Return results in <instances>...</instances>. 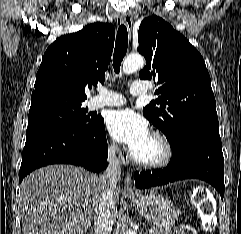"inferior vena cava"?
Here are the masks:
<instances>
[{
  "label": "inferior vena cava",
  "instance_id": "602c4592",
  "mask_svg": "<svg viewBox=\"0 0 241 234\" xmlns=\"http://www.w3.org/2000/svg\"><path fill=\"white\" fill-rule=\"evenodd\" d=\"M117 146L111 145L108 150V166L100 176L102 201L94 216V234H111L117 214L114 199L116 184L121 177V167L116 157Z\"/></svg>",
  "mask_w": 241,
  "mask_h": 234
}]
</instances>
